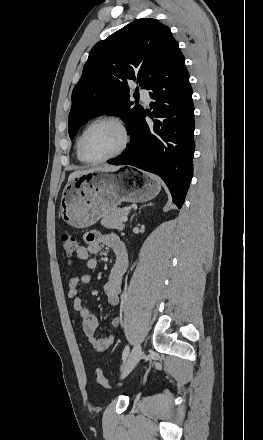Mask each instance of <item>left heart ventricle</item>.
I'll use <instances>...</instances> for the list:
<instances>
[{
    "label": "left heart ventricle",
    "instance_id": "b2bd125f",
    "mask_svg": "<svg viewBox=\"0 0 263 440\" xmlns=\"http://www.w3.org/2000/svg\"><path fill=\"white\" fill-rule=\"evenodd\" d=\"M122 142V134L117 126L110 122H101L87 133L83 149L91 159H99L114 153Z\"/></svg>",
    "mask_w": 263,
    "mask_h": 440
}]
</instances>
